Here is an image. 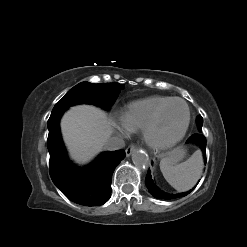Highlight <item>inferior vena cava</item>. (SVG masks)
<instances>
[{"label": "inferior vena cava", "instance_id": "inferior-vena-cava-1", "mask_svg": "<svg viewBox=\"0 0 247 247\" xmlns=\"http://www.w3.org/2000/svg\"><path fill=\"white\" fill-rule=\"evenodd\" d=\"M125 146V142L122 138L111 137L105 144V149L109 151H114L121 149Z\"/></svg>", "mask_w": 247, "mask_h": 247}]
</instances>
